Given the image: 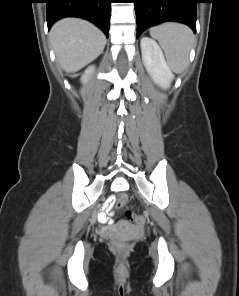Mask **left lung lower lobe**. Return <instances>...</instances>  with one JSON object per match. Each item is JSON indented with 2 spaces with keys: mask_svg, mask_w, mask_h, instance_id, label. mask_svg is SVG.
I'll list each match as a JSON object with an SVG mask.
<instances>
[{
  "mask_svg": "<svg viewBox=\"0 0 239 296\" xmlns=\"http://www.w3.org/2000/svg\"><path fill=\"white\" fill-rule=\"evenodd\" d=\"M135 3L137 38L156 24L177 21L196 33V3L198 0H133Z\"/></svg>",
  "mask_w": 239,
  "mask_h": 296,
  "instance_id": "1",
  "label": "left lung lower lobe"
}]
</instances>
